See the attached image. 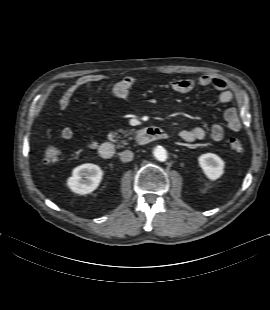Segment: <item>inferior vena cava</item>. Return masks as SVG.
Wrapping results in <instances>:
<instances>
[{
	"label": "inferior vena cava",
	"instance_id": "obj_1",
	"mask_svg": "<svg viewBox=\"0 0 270 310\" xmlns=\"http://www.w3.org/2000/svg\"><path fill=\"white\" fill-rule=\"evenodd\" d=\"M133 152L130 150H125L120 153V159L122 162H130L133 159Z\"/></svg>",
	"mask_w": 270,
	"mask_h": 310
}]
</instances>
